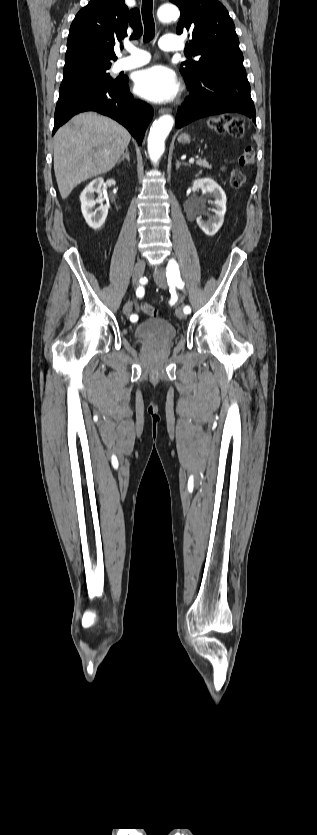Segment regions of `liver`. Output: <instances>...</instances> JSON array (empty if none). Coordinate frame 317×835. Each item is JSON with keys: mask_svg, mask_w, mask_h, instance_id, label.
Here are the masks:
<instances>
[{"mask_svg": "<svg viewBox=\"0 0 317 835\" xmlns=\"http://www.w3.org/2000/svg\"><path fill=\"white\" fill-rule=\"evenodd\" d=\"M130 140L122 125L95 112L61 127L54 136V171L62 199L82 181L111 170Z\"/></svg>", "mask_w": 317, "mask_h": 835, "instance_id": "1", "label": "liver"}]
</instances>
